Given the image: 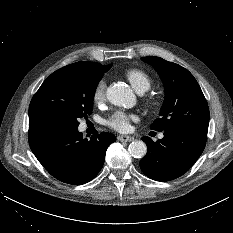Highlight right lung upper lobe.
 Returning <instances> with one entry per match:
<instances>
[{"label": "right lung upper lobe", "mask_w": 233, "mask_h": 233, "mask_svg": "<svg viewBox=\"0 0 233 233\" xmlns=\"http://www.w3.org/2000/svg\"><path fill=\"white\" fill-rule=\"evenodd\" d=\"M69 66H87V67H96V68H101V69H110L112 64L111 65H107V66H102L101 64L99 63H96V62H89V61H85V62H77V63H73V64H70Z\"/></svg>", "instance_id": "obj_1"}]
</instances>
